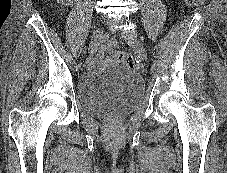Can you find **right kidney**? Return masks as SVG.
I'll use <instances>...</instances> for the list:
<instances>
[{
  "mask_svg": "<svg viewBox=\"0 0 227 173\" xmlns=\"http://www.w3.org/2000/svg\"><path fill=\"white\" fill-rule=\"evenodd\" d=\"M57 2H59L61 4H65L67 2H73V0H57Z\"/></svg>",
  "mask_w": 227,
  "mask_h": 173,
  "instance_id": "1",
  "label": "right kidney"
}]
</instances>
